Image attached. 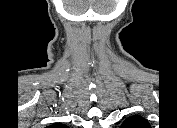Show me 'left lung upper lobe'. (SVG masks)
Here are the masks:
<instances>
[{
  "label": "left lung upper lobe",
  "mask_w": 177,
  "mask_h": 128,
  "mask_svg": "<svg viewBox=\"0 0 177 128\" xmlns=\"http://www.w3.org/2000/svg\"><path fill=\"white\" fill-rule=\"evenodd\" d=\"M149 127L150 125L147 122V120L141 116H133L127 118L121 126V128H149Z\"/></svg>",
  "instance_id": "obj_1"
}]
</instances>
